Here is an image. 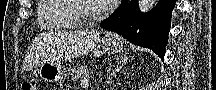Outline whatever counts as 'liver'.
Wrapping results in <instances>:
<instances>
[{"mask_svg":"<svg viewBox=\"0 0 216 90\" xmlns=\"http://www.w3.org/2000/svg\"><path fill=\"white\" fill-rule=\"evenodd\" d=\"M100 42L99 32L96 30H79V32H66L65 46L68 50V60L79 58L95 50Z\"/></svg>","mask_w":216,"mask_h":90,"instance_id":"6515ba94","label":"liver"}]
</instances>
